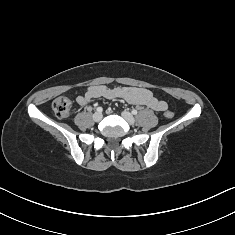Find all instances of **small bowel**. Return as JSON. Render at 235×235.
Instances as JSON below:
<instances>
[{
	"label": "small bowel",
	"instance_id": "small-bowel-1",
	"mask_svg": "<svg viewBox=\"0 0 235 235\" xmlns=\"http://www.w3.org/2000/svg\"><path fill=\"white\" fill-rule=\"evenodd\" d=\"M96 98L122 99L129 104L147 107L156 112H164L168 108L165 101L156 98L150 90L141 87L94 85L78 95L76 101L80 106H86Z\"/></svg>",
	"mask_w": 235,
	"mask_h": 235
}]
</instances>
